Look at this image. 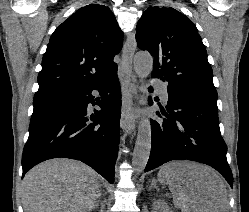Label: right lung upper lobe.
<instances>
[{
	"mask_svg": "<svg viewBox=\"0 0 249 212\" xmlns=\"http://www.w3.org/2000/svg\"><path fill=\"white\" fill-rule=\"evenodd\" d=\"M122 43L123 32L108 7L90 4L80 8L52 34L34 97L100 83L117 71L113 58Z\"/></svg>",
	"mask_w": 249,
	"mask_h": 212,
	"instance_id": "cb5924a9",
	"label": "right lung upper lobe"
}]
</instances>
